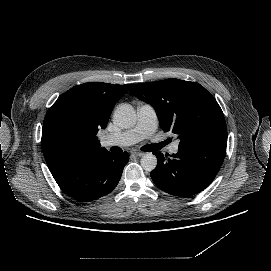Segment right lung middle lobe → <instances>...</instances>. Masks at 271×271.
<instances>
[{"label":"right lung middle lobe","mask_w":271,"mask_h":271,"mask_svg":"<svg viewBox=\"0 0 271 271\" xmlns=\"http://www.w3.org/2000/svg\"><path fill=\"white\" fill-rule=\"evenodd\" d=\"M75 137L76 131L70 123H62L56 129V138L62 143H71Z\"/></svg>","instance_id":"obj_1"}]
</instances>
